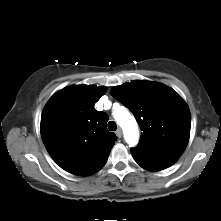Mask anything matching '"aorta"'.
I'll use <instances>...</instances> for the list:
<instances>
[{"label": "aorta", "mask_w": 221, "mask_h": 221, "mask_svg": "<svg viewBox=\"0 0 221 221\" xmlns=\"http://www.w3.org/2000/svg\"><path fill=\"white\" fill-rule=\"evenodd\" d=\"M114 117L123 129L126 142L130 146L136 145L138 142L139 131L134 117L124 107H119L114 112Z\"/></svg>", "instance_id": "aorta-1"}]
</instances>
